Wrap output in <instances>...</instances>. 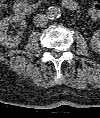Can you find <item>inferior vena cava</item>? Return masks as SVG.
I'll return each mask as SVG.
<instances>
[{"mask_svg": "<svg viewBox=\"0 0 100 118\" xmlns=\"http://www.w3.org/2000/svg\"><path fill=\"white\" fill-rule=\"evenodd\" d=\"M48 18L45 14H37L34 19L33 22L37 27H43L47 24Z\"/></svg>", "mask_w": 100, "mask_h": 118, "instance_id": "obj_1", "label": "inferior vena cava"}]
</instances>
